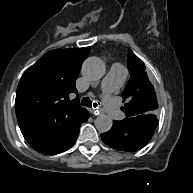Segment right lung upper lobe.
Listing matches in <instances>:
<instances>
[{
  "instance_id": "cb5924a9",
  "label": "right lung upper lobe",
  "mask_w": 193,
  "mask_h": 193,
  "mask_svg": "<svg viewBox=\"0 0 193 193\" xmlns=\"http://www.w3.org/2000/svg\"><path fill=\"white\" fill-rule=\"evenodd\" d=\"M90 47L55 49L28 68L17 88L15 109L20 130L37 151L59 145L88 116L75 81Z\"/></svg>"
}]
</instances>
